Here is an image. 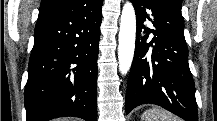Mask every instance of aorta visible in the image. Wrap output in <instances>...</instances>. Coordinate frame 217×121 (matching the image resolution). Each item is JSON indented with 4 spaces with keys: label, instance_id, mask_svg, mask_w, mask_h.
<instances>
[{
    "label": "aorta",
    "instance_id": "1",
    "mask_svg": "<svg viewBox=\"0 0 217 121\" xmlns=\"http://www.w3.org/2000/svg\"><path fill=\"white\" fill-rule=\"evenodd\" d=\"M136 16L130 1L123 6L119 31V71L126 75L130 70L135 50Z\"/></svg>",
    "mask_w": 217,
    "mask_h": 121
}]
</instances>
